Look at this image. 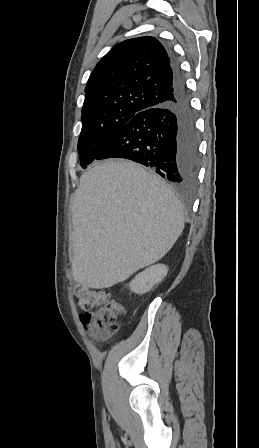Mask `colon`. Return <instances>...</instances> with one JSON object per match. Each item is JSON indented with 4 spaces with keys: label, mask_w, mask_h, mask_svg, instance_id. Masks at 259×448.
<instances>
[{
    "label": "colon",
    "mask_w": 259,
    "mask_h": 448,
    "mask_svg": "<svg viewBox=\"0 0 259 448\" xmlns=\"http://www.w3.org/2000/svg\"><path fill=\"white\" fill-rule=\"evenodd\" d=\"M75 295L84 311L81 321L96 337L104 339L117 332L118 317L125 314V307L119 300L102 289L87 286H78Z\"/></svg>",
    "instance_id": "5ec220e1"
}]
</instances>
